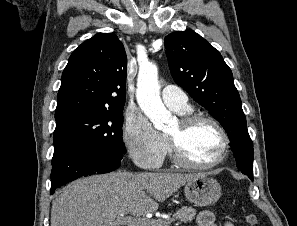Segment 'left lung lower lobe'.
Instances as JSON below:
<instances>
[{
    "mask_svg": "<svg viewBox=\"0 0 297 226\" xmlns=\"http://www.w3.org/2000/svg\"><path fill=\"white\" fill-rule=\"evenodd\" d=\"M242 173L248 175L249 178L253 181V173H248V172H242Z\"/></svg>",
    "mask_w": 297,
    "mask_h": 226,
    "instance_id": "1",
    "label": "left lung lower lobe"
}]
</instances>
